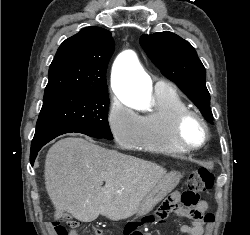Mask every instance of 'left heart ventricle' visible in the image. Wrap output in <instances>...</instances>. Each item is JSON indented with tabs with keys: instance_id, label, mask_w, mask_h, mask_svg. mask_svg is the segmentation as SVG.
<instances>
[{
	"instance_id": "1",
	"label": "left heart ventricle",
	"mask_w": 250,
	"mask_h": 235,
	"mask_svg": "<svg viewBox=\"0 0 250 235\" xmlns=\"http://www.w3.org/2000/svg\"><path fill=\"white\" fill-rule=\"evenodd\" d=\"M204 136L201 124L194 118L188 120L183 127V138L190 145H198Z\"/></svg>"
}]
</instances>
